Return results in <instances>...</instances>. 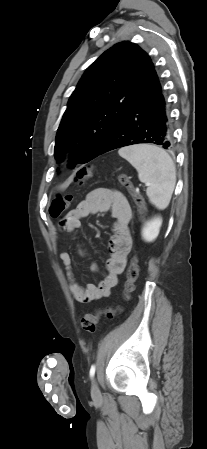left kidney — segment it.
Here are the masks:
<instances>
[{
    "label": "left kidney",
    "instance_id": "1",
    "mask_svg": "<svg viewBox=\"0 0 207 449\" xmlns=\"http://www.w3.org/2000/svg\"><path fill=\"white\" fill-rule=\"evenodd\" d=\"M161 225L162 218H160L159 216L146 222L142 229L143 239L147 242L154 241L159 234Z\"/></svg>",
    "mask_w": 207,
    "mask_h": 449
}]
</instances>
